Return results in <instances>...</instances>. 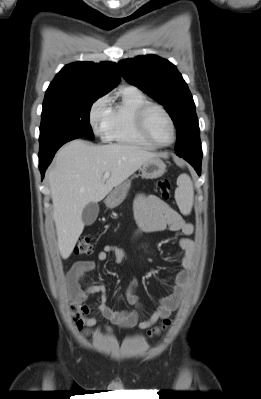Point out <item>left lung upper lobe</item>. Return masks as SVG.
<instances>
[{"instance_id": "obj_1", "label": "left lung upper lobe", "mask_w": 261, "mask_h": 399, "mask_svg": "<svg viewBox=\"0 0 261 399\" xmlns=\"http://www.w3.org/2000/svg\"><path fill=\"white\" fill-rule=\"evenodd\" d=\"M121 75L163 105L177 129L178 156H202L200 130L192 95L182 75L168 60L137 56L118 63Z\"/></svg>"}]
</instances>
